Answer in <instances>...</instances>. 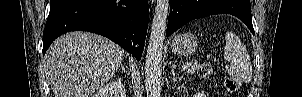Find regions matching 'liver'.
<instances>
[{"mask_svg":"<svg viewBox=\"0 0 302 97\" xmlns=\"http://www.w3.org/2000/svg\"><path fill=\"white\" fill-rule=\"evenodd\" d=\"M123 56L109 39L75 31L52 43L44 67L55 97H91L118 70Z\"/></svg>","mask_w":302,"mask_h":97,"instance_id":"6515ba94","label":"liver"}]
</instances>
